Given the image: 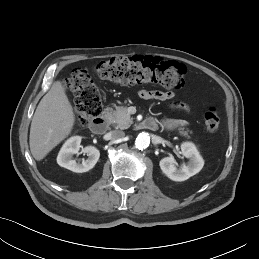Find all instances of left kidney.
<instances>
[{"mask_svg": "<svg viewBox=\"0 0 259 259\" xmlns=\"http://www.w3.org/2000/svg\"><path fill=\"white\" fill-rule=\"evenodd\" d=\"M181 151L182 155L189 159L187 165L183 164L178 169L173 157H165L159 162L162 172L173 181H185L200 172L204 166V160L193 143L184 142Z\"/></svg>", "mask_w": 259, "mask_h": 259, "instance_id": "obj_1", "label": "left kidney"}]
</instances>
